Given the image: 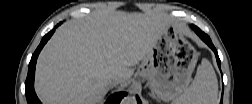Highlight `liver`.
Here are the masks:
<instances>
[{
	"label": "liver",
	"instance_id": "6515ba94",
	"mask_svg": "<svg viewBox=\"0 0 252 104\" xmlns=\"http://www.w3.org/2000/svg\"><path fill=\"white\" fill-rule=\"evenodd\" d=\"M166 17L122 13L72 20L60 26L41 51L35 90L46 104H97L110 88L134 73L164 29Z\"/></svg>",
	"mask_w": 252,
	"mask_h": 104
}]
</instances>
